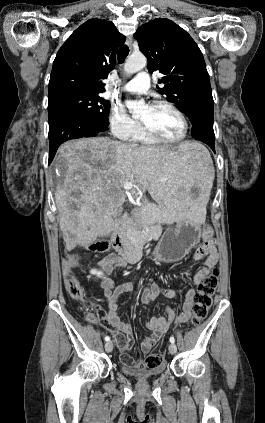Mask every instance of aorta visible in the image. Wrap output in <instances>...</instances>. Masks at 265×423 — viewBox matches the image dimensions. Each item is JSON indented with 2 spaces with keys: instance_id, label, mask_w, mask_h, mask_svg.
<instances>
[{
  "instance_id": "762f6f07",
  "label": "aorta",
  "mask_w": 265,
  "mask_h": 423,
  "mask_svg": "<svg viewBox=\"0 0 265 423\" xmlns=\"http://www.w3.org/2000/svg\"><path fill=\"white\" fill-rule=\"evenodd\" d=\"M147 59L142 54L131 55L124 64V72L128 75L134 74L146 66ZM126 106L133 114H138L144 108L143 101L126 100Z\"/></svg>"
}]
</instances>
